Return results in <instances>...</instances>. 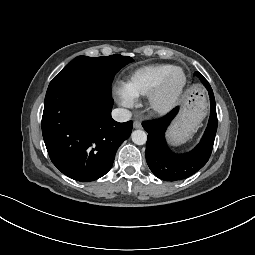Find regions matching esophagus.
Returning <instances> with one entry per match:
<instances>
[{"label": "esophagus", "instance_id": "esophagus-1", "mask_svg": "<svg viewBox=\"0 0 255 255\" xmlns=\"http://www.w3.org/2000/svg\"><path fill=\"white\" fill-rule=\"evenodd\" d=\"M133 127L135 128V129H140V128H142V124H141V122L140 121H134V123H133Z\"/></svg>", "mask_w": 255, "mask_h": 255}]
</instances>
